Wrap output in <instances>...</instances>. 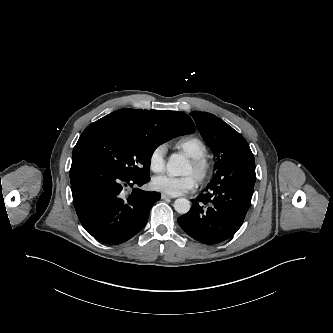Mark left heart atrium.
<instances>
[{"label": "left heart atrium", "mask_w": 333, "mask_h": 333, "mask_svg": "<svg viewBox=\"0 0 333 333\" xmlns=\"http://www.w3.org/2000/svg\"><path fill=\"white\" fill-rule=\"evenodd\" d=\"M196 183V178L192 174L180 177L159 175L153 178L152 187L163 194L179 196L193 190Z\"/></svg>", "instance_id": "39dd6f15"}]
</instances>
